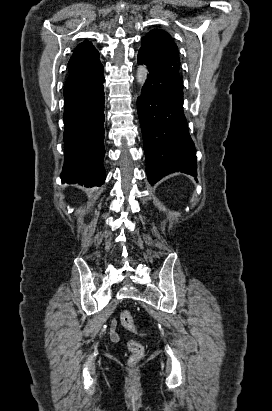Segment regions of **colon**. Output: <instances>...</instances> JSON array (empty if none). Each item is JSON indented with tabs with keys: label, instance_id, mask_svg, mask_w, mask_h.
Returning <instances> with one entry per match:
<instances>
[{
	"label": "colon",
	"instance_id": "5ec220e1",
	"mask_svg": "<svg viewBox=\"0 0 272 411\" xmlns=\"http://www.w3.org/2000/svg\"><path fill=\"white\" fill-rule=\"evenodd\" d=\"M120 321H121L122 326L125 329H127L131 332L136 331V326H135V323H134V319H133L132 315L129 312H127V311L122 312L121 315H120ZM127 348L131 353V355L128 359V365L130 367H134L142 359V357L144 355V347L138 341L129 340L128 343H127Z\"/></svg>",
	"mask_w": 272,
	"mask_h": 411
}]
</instances>
